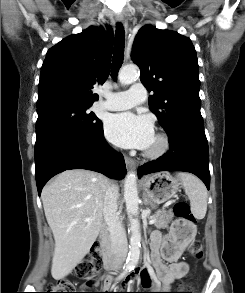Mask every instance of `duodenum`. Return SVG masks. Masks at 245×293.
<instances>
[{"label": "duodenum", "mask_w": 245, "mask_h": 293, "mask_svg": "<svg viewBox=\"0 0 245 293\" xmlns=\"http://www.w3.org/2000/svg\"><path fill=\"white\" fill-rule=\"evenodd\" d=\"M99 239L101 241L102 249L101 256L105 267L110 270L116 269V262L110 254V243H109V230L108 228H102L99 233Z\"/></svg>", "instance_id": "duodenum-1"}]
</instances>
